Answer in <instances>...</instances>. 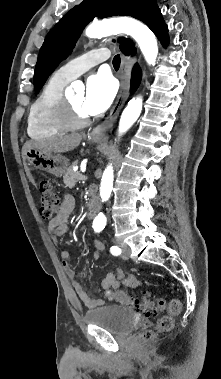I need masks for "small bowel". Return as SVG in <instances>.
I'll return each instance as SVG.
<instances>
[{
	"instance_id": "1",
	"label": "small bowel",
	"mask_w": 221,
	"mask_h": 379,
	"mask_svg": "<svg viewBox=\"0 0 221 379\" xmlns=\"http://www.w3.org/2000/svg\"><path fill=\"white\" fill-rule=\"evenodd\" d=\"M75 207V200L71 195H65L60 205L59 211L54 218L49 221L48 231L54 241L62 236L67 231V223ZM94 256L97 258L104 249L103 244L94 241ZM63 269L71 281L72 286L78 298L88 307L99 306L103 303L102 299L91 298L82 285L78 282L75 271L70 266L71 254L68 250H62L60 253ZM139 284L137 278L133 274L125 275L123 270L117 268L115 271H109L104 279L101 281L100 288L102 290H118L121 287L126 289H133Z\"/></svg>"
}]
</instances>
